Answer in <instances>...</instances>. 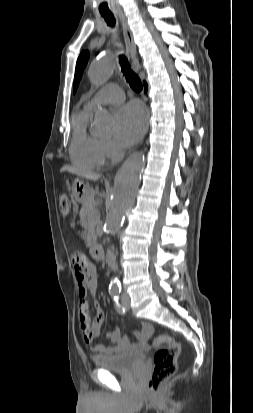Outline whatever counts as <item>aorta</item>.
<instances>
[{
  "label": "aorta",
  "instance_id": "762f6f07",
  "mask_svg": "<svg viewBox=\"0 0 253 413\" xmlns=\"http://www.w3.org/2000/svg\"><path fill=\"white\" fill-rule=\"evenodd\" d=\"M115 67V61L111 55L94 61L88 70L91 83L97 87L104 85L114 72ZM94 123L99 131L111 130L112 116L110 112L105 109L97 110ZM144 166V154L136 153L130 156L118 171L114 190L107 204L104 228L108 234L115 235L119 231L127 209L134 203ZM110 288L118 290L119 282L117 279H112Z\"/></svg>",
  "mask_w": 253,
  "mask_h": 413
}]
</instances>
